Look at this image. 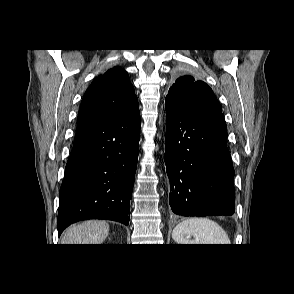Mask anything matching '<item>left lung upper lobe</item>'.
Wrapping results in <instances>:
<instances>
[{"mask_svg":"<svg viewBox=\"0 0 294 294\" xmlns=\"http://www.w3.org/2000/svg\"><path fill=\"white\" fill-rule=\"evenodd\" d=\"M165 100L190 113L222 112L212 89L192 75L179 77Z\"/></svg>","mask_w":294,"mask_h":294,"instance_id":"5c2ea615","label":"left lung upper lobe"}]
</instances>
